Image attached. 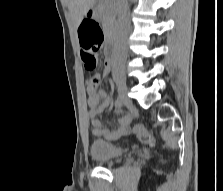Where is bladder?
I'll return each instance as SVG.
<instances>
[{"label":"bladder","mask_w":223,"mask_h":191,"mask_svg":"<svg viewBox=\"0 0 223 191\" xmlns=\"http://www.w3.org/2000/svg\"><path fill=\"white\" fill-rule=\"evenodd\" d=\"M125 153V148L117 143L104 140H95L90 146L91 157L101 163H109L121 157Z\"/></svg>","instance_id":"31cf9c89"}]
</instances>
